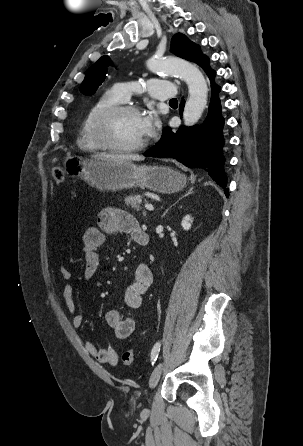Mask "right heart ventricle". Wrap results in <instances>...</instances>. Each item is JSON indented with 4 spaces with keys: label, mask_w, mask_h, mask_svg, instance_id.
Returning a JSON list of instances; mask_svg holds the SVG:
<instances>
[{
    "label": "right heart ventricle",
    "mask_w": 303,
    "mask_h": 446,
    "mask_svg": "<svg viewBox=\"0 0 303 446\" xmlns=\"http://www.w3.org/2000/svg\"><path fill=\"white\" fill-rule=\"evenodd\" d=\"M122 99L117 95L114 89L107 90L101 94L91 105L86 113L79 129L77 145L84 151H98L103 148L95 140L92 128L97 114L110 105L119 104Z\"/></svg>",
    "instance_id": "1"
}]
</instances>
